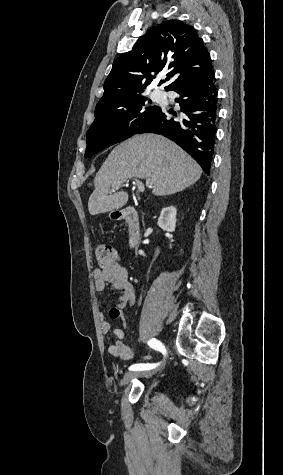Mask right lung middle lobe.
I'll list each match as a JSON object with an SVG mask.
<instances>
[{"instance_id":"dd1d6c3e","label":"right lung middle lobe","mask_w":283,"mask_h":475,"mask_svg":"<svg viewBox=\"0 0 283 475\" xmlns=\"http://www.w3.org/2000/svg\"><path fill=\"white\" fill-rule=\"evenodd\" d=\"M144 95L129 100L95 108V120L87 132V148L84 157L88 158L113 144L135 135L141 126L153 118L160 110Z\"/></svg>"}]
</instances>
